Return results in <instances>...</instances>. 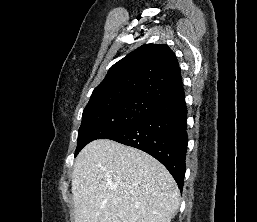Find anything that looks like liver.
I'll return each instance as SVG.
<instances>
[{
	"label": "liver",
	"mask_w": 257,
	"mask_h": 222,
	"mask_svg": "<svg viewBox=\"0 0 257 222\" xmlns=\"http://www.w3.org/2000/svg\"><path fill=\"white\" fill-rule=\"evenodd\" d=\"M75 222H171L180 192L151 155L109 139L86 145L72 172Z\"/></svg>",
	"instance_id": "1"
}]
</instances>
